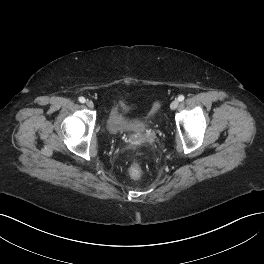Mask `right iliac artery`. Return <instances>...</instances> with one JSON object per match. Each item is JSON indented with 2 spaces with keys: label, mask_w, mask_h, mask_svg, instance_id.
<instances>
[{
  "label": "right iliac artery",
  "mask_w": 264,
  "mask_h": 264,
  "mask_svg": "<svg viewBox=\"0 0 264 264\" xmlns=\"http://www.w3.org/2000/svg\"><path fill=\"white\" fill-rule=\"evenodd\" d=\"M79 101L81 102V103H85V98L84 97H79Z\"/></svg>",
  "instance_id": "obj_1"
}]
</instances>
